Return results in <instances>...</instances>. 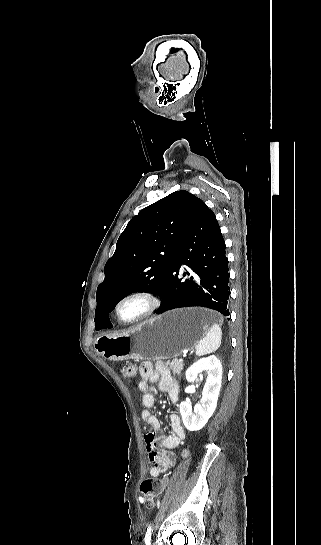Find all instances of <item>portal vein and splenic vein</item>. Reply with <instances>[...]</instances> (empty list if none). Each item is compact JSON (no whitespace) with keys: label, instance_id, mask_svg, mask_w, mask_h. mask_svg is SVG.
<instances>
[{"label":"portal vein and splenic vein","instance_id":"18ae733b","mask_svg":"<svg viewBox=\"0 0 321 545\" xmlns=\"http://www.w3.org/2000/svg\"><path fill=\"white\" fill-rule=\"evenodd\" d=\"M184 358H188L187 353H183ZM184 358H179V361H184Z\"/></svg>","mask_w":321,"mask_h":545}]
</instances>
